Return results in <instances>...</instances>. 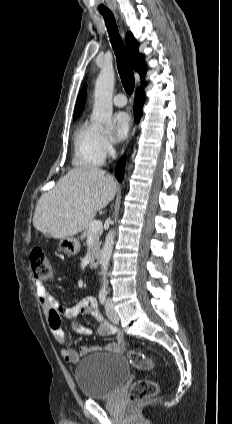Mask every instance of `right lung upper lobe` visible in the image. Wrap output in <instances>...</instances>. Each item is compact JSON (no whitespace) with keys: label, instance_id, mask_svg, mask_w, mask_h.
<instances>
[{"label":"right lung upper lobe","instance_id":"1","mask_svg":"<svg viewBox=\"0 0 232 424\" xmlns=\"http://www.w3.org/2000/svg\"><path fill=\"white\" fill-rule=\"evenodd\" d=\"M125 40L132 66L139 73L141 79H143L146 74V64L143 55L138 52L139 44L131 32L126 34ZM85 99L86 85L83 86L81 92L79 93L74 116H80L82 113L85 106Z\"/></svg>","mask_w":232,"mask_h":424}]
</instances>
